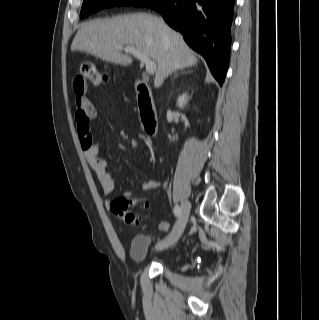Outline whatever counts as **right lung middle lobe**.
Instances as JSON below:
<instances>
[{"label": "right lung middle lobe", "mask_w": 319, "mask_h": 320, "mask_svg": "<svg viewBox=\"0 0 319 320\" xmlns=\"http://www.w3.org/2000/svg\"><path fill=\"white\" fill-rule=\"evenodd\" d=\"M151 1L152 0H84L80 17L84 18L100 9L113 6L133 5L143 7Z\"/></svg>", "instance_id": "obj_1"}]
</instances>
